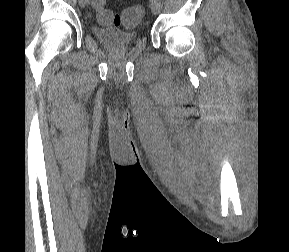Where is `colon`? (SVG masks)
Segmentation results:
<instances>
[{
	"label": "colon",
	"instance_id": "colon-1",
	"mask_svg": "<svg viewBox=\"0 0 289 252\" xmlns=\"http://www.w3.org/2000/svg\"><path fill=\"white\" fill-rule=\"evenodd\" d=\"M93 7L97 11V18L102 24H114L125 28L136 26L144 14L143 8L135 5L124 10L120 15H115L105 8V0H94Z\"/></svg>",
	"mask_w": 289,
	"mask_h": 252
}]
</instances>
